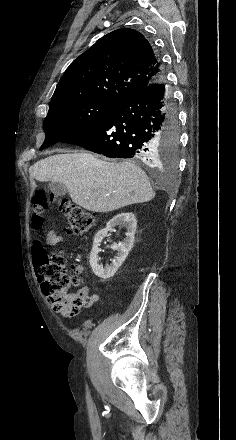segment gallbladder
I'll list each match as a JSON object with an SVG mask.
<instances>
[{
  "label": "gallbladder",
  "instance_id": "bac80fb5",
  "mask_svg": "<svg viewBox=\"0 0 236 440\" xmlns=\"http://www.w3.org/2000/svg\"><path fill=\"white\" fill-rule=\"evenodd\" d=\"M48 187L56 196H64L67 193L66 186L60 182H49Z\"/></svg>",
  "mask_w": 236,
  "mask_h": 440
}]
</instances>
